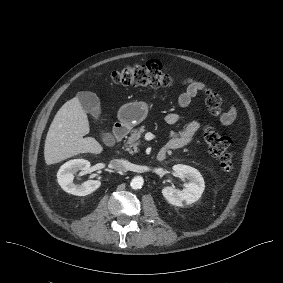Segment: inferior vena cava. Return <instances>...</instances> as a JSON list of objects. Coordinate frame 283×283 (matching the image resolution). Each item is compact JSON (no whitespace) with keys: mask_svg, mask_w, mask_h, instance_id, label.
Here are the masks:
<instances>
[{"mask_svg":"<svg viewBox=\"0 0 283 283\" xmlns=\"http://www.w3.org/2000/svg\"><path fill=\"white\" fill-rule=\"evenodd\" d=\"M114 167H115L116 170H119L121 172H125L126 171L125 164L123 163L122 160L115 161Z\"/></svg>","mask_w":283,"mask_h":283,"instance_id":"602c4592","label":"inferior vena cava"}]
</instances>
